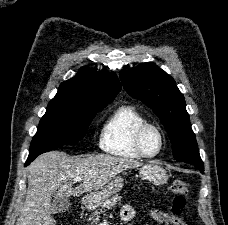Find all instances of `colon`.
<instances>
[{"instance_id":"colon-1","label":"colon","mask_w":228,"mask_h":225,"mask_svg":"<svg viewBox=\"0 0 228 225\" xmlns=\"http://www.w3.org/2000/svg\"><path fill=\"white\" fill-rule=\"evenodd\" d=\"M169 191L173 196L170 214H182L188 194V184L184 180L176 179L171 182Z\"/></svg>"}]
</instances>
